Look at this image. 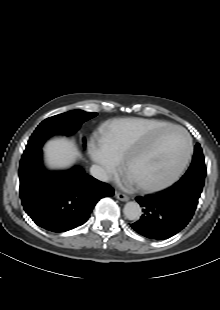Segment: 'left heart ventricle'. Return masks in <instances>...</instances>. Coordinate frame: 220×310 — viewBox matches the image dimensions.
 <instances>
[{"label":"left heart ventricle","mask_w":220,"mask_h":310,"mask_svg":"<svg viewBox=\"0 0 220 310\" xmlns=\"http://www.w3.org/2000/svg\"><path fill=\"white\" fill-rule=\"evenodd\" d=\"M186 146V138L182 133L166 131L154 151L132 161L128 173L139 182H162L177 170L184 158Z\"/></svg>","instance_id":"b2bd125f"}]
</instances>
